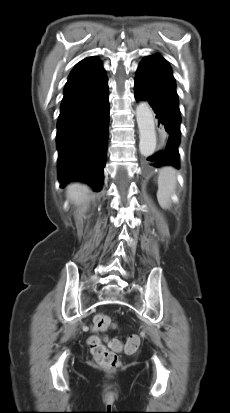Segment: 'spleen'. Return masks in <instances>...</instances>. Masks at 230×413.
<instances>
[{"label":"spleen","instance_id":"3e777b00","mask_svg":"<svg viewBox=\"0 0 230 413\" xmlns=\"http://www.w3.org/2000/svg\"><path fill=\"white\" fill-rule=\"evenodd\" d=\"M177 173L172 167L162 168L158 175L157 199L164 209L170 207L172 195L175 193Z\"/></svg>","mask_w":230,"mask_h":413}]
</instances>
